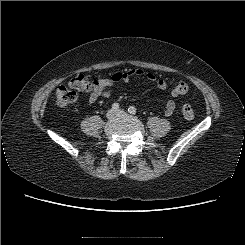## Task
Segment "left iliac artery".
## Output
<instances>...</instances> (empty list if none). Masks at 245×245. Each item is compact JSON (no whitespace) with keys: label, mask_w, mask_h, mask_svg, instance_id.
Instances as JSON below:
<instances>
[{"label":"left iliac artery","mask_w":245,"mask_h":245,"mask_svg":"<svg viewBox=\"0 0 245 245\" xmlns=\"http://www.w3.org/2000/svg\"><path fill=\"white\" fill-rule=\"evenodd\" d=\"M128 112L131 113V114H136L137 113L136 108L134 106H130L128 108Z\"/></svg>","instance_id":"44dca946"}]
</instances>
